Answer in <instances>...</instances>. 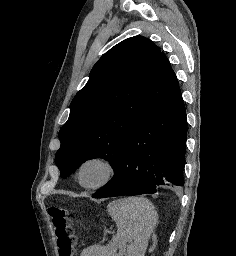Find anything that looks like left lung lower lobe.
<instances>
[{
  "label": "left lung lower lobe",
  "mask_w": 236,
  "mask_h": 256,
  "mask_svg": "<svg viewBox=\"0 0 236 256\" xmlns=\"http://www.w3.org/2000/svg\"><path fill=\"white\" fill-rule=\"evenodd\" d=\"M187 140L181 91L150 110L135 126L113 178L94 198L156 193L158 185L183 186Z\"/></svg>",
  "instance_id": "0a47b994"
}]
</instances>
